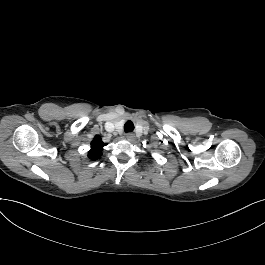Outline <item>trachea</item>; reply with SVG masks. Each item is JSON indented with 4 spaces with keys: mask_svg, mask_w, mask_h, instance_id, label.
Returning a JSON list of instances; mask_svg holds the SVG:
<instances>
[{
    "mask_svg": "<svg viewBox=\"0 0 265 265\" xmlns=\"http://www.w3.org/2000/svg\"><path fill=\"white\" fill-rule=\"evenodd\" d=\"M134 130V124L132 121L128 120L125 124H124V131L127 132H132Z\"/></svg>",
    "mask_w": 265,
    "mask_h": 265,
    "instance_id": "1",
    "label": "trachea"
}]
</instances>
